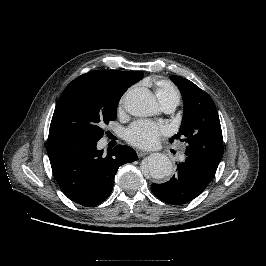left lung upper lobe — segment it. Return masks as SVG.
I'll return each mask as SVG.
<instances>
[{
  "label": "left lung upper lobe",
  "mask_w": 266,
  "mask_h": 266,
  "mask_svg": "<svg viewBox=\"0 0 266 266\" xmlns=\"http://www.w3.org/2000/svg\"><path fill=\"white\" fill-rule=\"evenodd\" d=\"M184 102L182 127L169 141L187 143L185 155L217 168L223 156V138L217 109L211 97L191 81L172 75Z\"/></svg>",
  "instance_id": "left-lung-upper-lobe-1"
}]
</instances>
